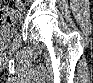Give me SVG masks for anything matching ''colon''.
<instances>
[{
    "mask_svg": "<svg viewBox=\"0 0 93 83\" xmlns=\"http://www.w3.org/2000/svg\"><path fill=\"white\" fill-rule=\"evenodd\" d=\"M14 13H15V9L10 8L8 6H4L0 11V21H1V23L4 24V25L8 24L11 21Z\"/></svg>",
    "mask_w": 93,
    "mask_h": 83,
    "instance_id": "colon-1",
    "label": "colon"
}]
</instances>
